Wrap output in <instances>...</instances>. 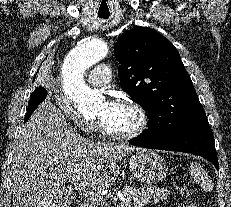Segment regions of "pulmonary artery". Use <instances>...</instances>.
Returning <instances> with one entry per match:
<instances>
[{
  "label": "pulmonary artery",
  "mask_w": 231,
  "mask_h": 207,
  "mask_svg": "<svg viewBox=\"0 0 231 207\" xmlns=\"http://www.w3.org/2000/svg\"><path fill=\"white\" fill-rule=\"evenodd\" d=\"M111 79V70L107 64L95 65L88 74V81L92 86H105Z\"/></svg>",
  "instance_id": "pulmonary-artery-1"
}]
</instances>
